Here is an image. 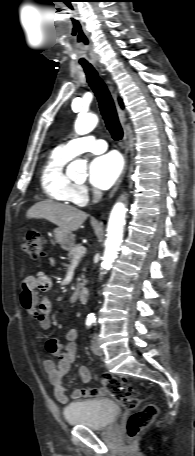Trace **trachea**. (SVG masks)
Here are the masks:
<instances>
[{"mask_svg":"<svg viewBox=\"0 0 195 456\" xmlns=\"http://www.w3.org/2000/svg\"><path fill=\"white\" fill-rule=\"evenodd\" d=\"M83 68L86 73L87 82L98 99L101 114L107 129L111 133L114 140H120L123 136V130L119 123L115 105L107 86L92 66H86Z\"/></svg>","mask_w":195,"mask_h":456,"instance_id":"obj_1","label":"trachea"}]
</instances>
